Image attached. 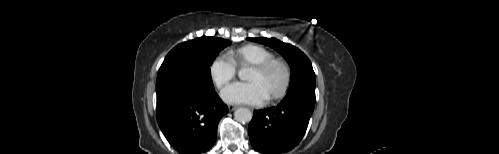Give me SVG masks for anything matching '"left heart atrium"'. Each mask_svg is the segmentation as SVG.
Masks as SVG:
<instances>
[{
  "instance_id": "39dd6f15",
  "label": "left heart atrium",
  "mask_w": 499,
  "mask_h": 154,
  "mask_svg": "<svg viewBox=\"0 0 499 154\" xmlns=\"http://www.w3.org/2000/svg\"><path fill=\"white\" fill-rule=\"evenodd\" d=\"M221 97L227 103L253 105H260L268 98L263 87L257 82H235L222 90Z\"/></svg>"
}]
</instances>
